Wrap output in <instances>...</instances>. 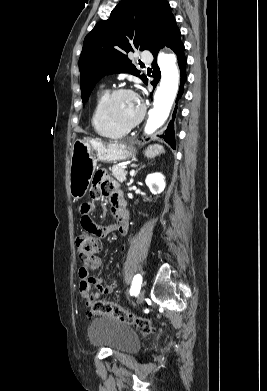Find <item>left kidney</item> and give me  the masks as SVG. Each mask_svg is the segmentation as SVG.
<instances>
[{"instance_id": "5707ae66", "label": "left kidney", "mask_w": 267, "mask_h": 391, "mask_svg": "<svg viewBox=\"0 0 267 391\" xmlns=\"http://www.w3.org/2000/svg\"><path fill=\"white\" fill-rule=\"evenodd\" d=\"M145 183L153 194L162 193L166 187L165 177L161 173L149 174Z\"/></svg>"}]
</instances>
